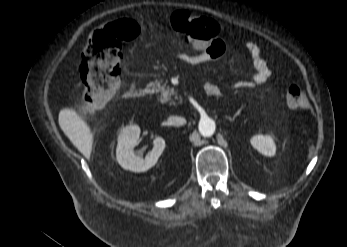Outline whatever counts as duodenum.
<instances>
[{
	"label": "duodenum",
	"instance_id": "duodenum-1",
	"mask_svg": "<svg viewBox=\"0 0 347 247\" xmlns=\"http://www.w3.org/2000/svg\"><path fill=\"white\" fill-rule=\"evenodd\" d=\"M205 92L208 96H216L217 91L214 88H206ZM150 93V88L148 87H140V88H131L126 92V95L128 97H134V98H142Z\"/></svg>",
	"mask_w": 347,
	"mask_h": 247
}]
</instances>
